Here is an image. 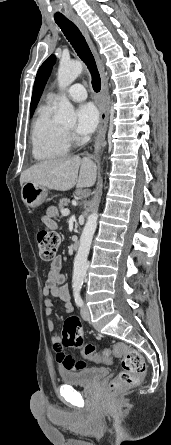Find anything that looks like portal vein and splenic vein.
Listing matches in <instances>:
<instances>
[{"instance_id":"portal-vein-and-splenic-vein-1","label":"portal vein and splenic vein","mask_w":171,"mask_h":445,"mask_svg":"<svg viewBox=\"0 0 171 445\" xmlns=\"http://www.w3.org/2000/svg\"><path fill=\"white\" fill-rule=\"evenodd\" d=\"M61 214H62L63 216H68V215L70 214V210H69V209H64V210L61 212Z\"/></svg>"}]
</instances>
